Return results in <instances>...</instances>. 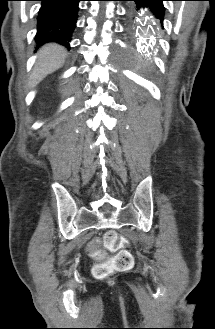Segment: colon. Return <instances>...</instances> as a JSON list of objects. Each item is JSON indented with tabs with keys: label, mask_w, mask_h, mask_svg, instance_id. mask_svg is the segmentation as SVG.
<instances>
[{
	"label": "colon",
	"mask_w": 215,
	"mask_h": 329,
	"mask_svg": "<svg viewBox=\"0 0 215 329\" xmlns=\"http://www.w3.org/2000/svg\"><path fill=\"white\" fill-rule=\"evenodd\" d=\"M125 244V240L120 239L113 231H109L103 238V248H99L97 243H92L88 249L90 256L96 261L94 267V274L97 278L102 279L108 276L113 271L125 270L131 267L133 264V256L127 250L122 249ZM107 250L119 252L109 257Z\"/></svg>",
	"instance_id": "1"
}]
</instances>
